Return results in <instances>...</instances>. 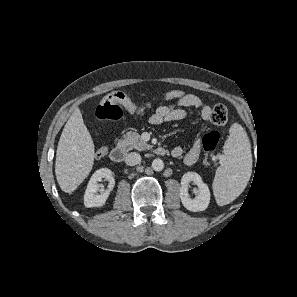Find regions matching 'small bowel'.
I'll return each mask as SVG.
<instances>
[{
    "instance_id": "c3829d8e",
    "label": "small bowel",
    "mask_w": 297,
    "mask_h": 297,
    "mask_svg": "<svg viewBox=\"0 0 297 297\" xmlns=\"http://www.w3.org/2000/svg\"><path fill=\"white\" fill-rule=\"evenodd\" d=\"M126 109L132 115H142L147 111L143 106L139 107L135 103L127 106ZM187 109L199 110L200 117L204 123H207L211 114L210 106L205 104L199 96L195 94H185L178 100L157 107L154 113L150 116L149 121L153 125L178 121L187 116ZM205 129L206 127L204 126L203 131ZM202 141L201 138L195 139L191 148L184 155V163L186 165H193L197 162L201 152ZM182 154L183 150L180 147H175L171 150V155L173 157H180Z\"/></svg>"
}]
</instances>
